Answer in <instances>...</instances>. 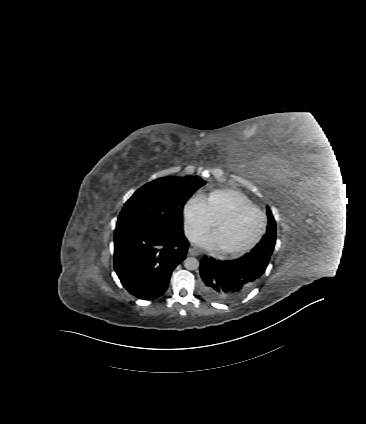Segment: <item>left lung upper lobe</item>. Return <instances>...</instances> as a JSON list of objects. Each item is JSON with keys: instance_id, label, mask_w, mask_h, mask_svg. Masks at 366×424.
<instances>
[{"instance_id": "1", "label": "left lung upper lobe", "mask_w": 366, "mask_h": 424, "mask_svg": "<svg viewBox=\"0 0 366 424\" xmlns=\"http://www.w3.org/2000/svg\"><path fill=\"white\" fill-rule=\"evenodd\" d=\"M267 215L268 226L266 234L263 236L258 245L253 248L250 253H247V255H250L253 258H258L268 265L276 241V223L269 208H267Z\"/></svg>"}]
</instances>
